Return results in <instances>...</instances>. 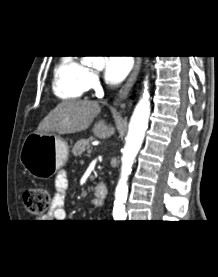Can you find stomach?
<instances>
[{"instance_id": "0dacf381", "label": "stomach", "mask_w": 218, "mask_h": 277, "mask_svg": "<svg viewBox=\"0 0 218 277\" xmlns=\"http://www.w3.org/2000/svg\"><path fill=\"white\" fill-rule=\"evenodd\" d=\"M67 142L55 134H29L21 147L20 162L35 178L51 177L67 161Z\"/></svg>"}]
</instances>
